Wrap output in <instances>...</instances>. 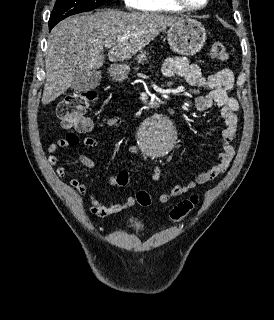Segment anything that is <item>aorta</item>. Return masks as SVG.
<instances>
[{
  "mask_svg": "<svg viewBox=\"0 0 274 320\" xmlns=\"http://www.w3.org/2000/svg\"><path fill=\"white\" fill-rule=\"evenodd\" d=\"M140 137L145 154L153 159L168 154L177 140L172 123L164 117L145 124L141 129Z\"/></svg>",
  "mask_w": 274,
  "mask_h": 320,
  "instance_id": "aorta-1",
  "label": "aorta"
}]
</instances>
